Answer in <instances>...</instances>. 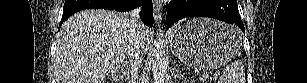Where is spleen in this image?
I'll use <instances>...</instances> for the list:
<instances>
[{"label":"spleen","instance_id":"3e777b00","mask_svg":"<svg viewBox=\"0 0 307 83\" xmlns=\"http://www.w3.org/2000/svg\"><path fill=\"white\" fill-rule=\"evenodd\" d=\"M218 83H245V69L241 60L227 65Z\"/></svg>","mask_w":307,"mask_h":83}]
</instances>
